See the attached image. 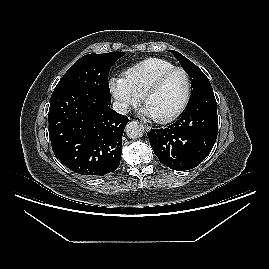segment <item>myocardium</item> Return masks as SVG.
I'll return each instance as SVG.
<instances>
[{"instance_id":"obj_1","label":"myocardium","mask_w":269,"mask_h":269,"mask_svg":"<svg viewBox=\"0 0 269 269\" xmlns=\"http://www.w3.org/2000/svg\"><path fill=\"white\" fill-rule=\"evenodd\" d=\"M176 71H181L184 73L186 80H187V91L185 94V98L182 102V104L172 113L164 116V117H152L153 120L157 123L160 124H165V123H169L171 121H173L174 119H176L177 117H179L187 108L190 99H191V95H192V79L190 74L188 73V71L186 69H184L183 67H173L171 69H168L166 71H164L163 73H161L156 79H154L148 86L147 88L143 91L142 95H141V101L142 104L145 105L146 100L148 99L149 96H151L153 93H155L163 84V82L174 72Z\"/></svg>"}]
</instances>
